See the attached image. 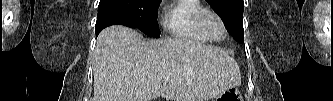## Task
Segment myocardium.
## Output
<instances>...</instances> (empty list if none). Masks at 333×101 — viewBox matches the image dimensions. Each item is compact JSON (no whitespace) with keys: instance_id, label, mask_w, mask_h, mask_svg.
<instances>
[{"instance_id":"f54148a6","label":"myocardium","mask_w":333,"mask_h":101,"mask_svg":"<svg viewBox=\"0 0 333 101\" xmlns=\"http://www.w3.org/2000/svg\"><path fill=\"white\" fill-rule=\"evenodd\" d=\"M207 15H213L219 21V23L222 27L221 37H214L209 32V30L206 26V23H205V19H206ZM197 25H198L199 29L201 30V32L212 41H220V40L224 39L227 35V27H226V24H225L222 16L213 9L203 8L197 15Z\"/></svg>"}]
</instances>
